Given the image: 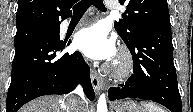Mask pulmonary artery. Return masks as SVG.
Here are the masks:
<instances>
[{
    "label": "pulmonary artery",
    "mask_w": 193,
    "mask_h": 112,
    "mask_svg": "<svg viewBox=\"0 0 193 112\" xmlns=\"http://www.w3.org/2000/svg\"><path fill=\"white\" fill-rule=\"evenodd\" d=\"M106 4H107L108 9H110V10H116L117 9V5L113 1H107Z\"/></svg>",
    "instance_id": "e3ab8cb5"
}]
</instances>
